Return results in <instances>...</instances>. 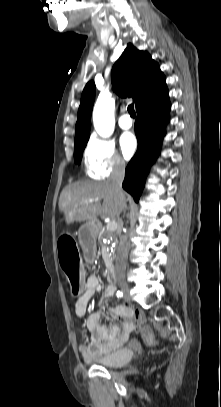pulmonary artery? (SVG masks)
I'll list each match as a JSON object with an SVG mask.
<instances>
[{
    "instance_id": "e3ab8cb5",
    "label": "pulmonary artery",
    "mask_w": 221,
    "mask_h": 407,
    "mask_svg": "<svg viewBox=\"0 0 221 407\" xmlns=\"http://www.w3.org/2000/svg\"><path fill=\"white\" fill-rule=\"evenodd\" d=\"M133 125V121L131 117L127 114L124 113L120 118H119V126L122 129H130Z\"/></svg>"
}]
</instances>
